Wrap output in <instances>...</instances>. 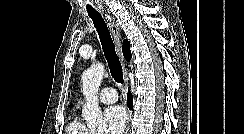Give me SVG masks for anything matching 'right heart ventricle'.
<instances>
[{"mask_svg":"<svg viewBox=\"0 0 244 134\" xmlns=\"http://www.w3.org/2000/svg\"><path fill=\"white\" fill-rule=\"evenodd\" d=\"M65 134H93L85 125L80 121L79 118H73L66 129Z\"/></svg>","mask_w":244,"mask_h":134,"instance_id":"obj_1","label":"right heart ventricle"}]
</instances>
